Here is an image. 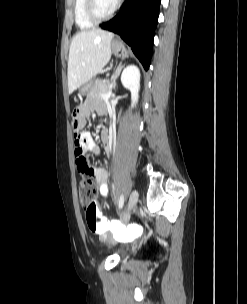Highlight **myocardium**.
<instances>
[{
	"instance_id": "obj_1",
	"label": "myocardium",
	"mask_w": 247,
	"mask_h": 304,
	"mask_svg": "<svg viewBox=\"0 0 247 304\" xmlns=\"http://www.w3.org/2000/svg\"><path fill=\"white\" fill-rule=\"evenodd\" d=\"M121 2L122 0H118L114 9L107 15H100L97 11V1L96 0H86V4H85V12H86V16L87 18L93 22V23H101L104 21H107L109 19H111L112 17H114V15L117 13V11L119 10L120 6H121Z\"/></svg>"
}]
</instances>
